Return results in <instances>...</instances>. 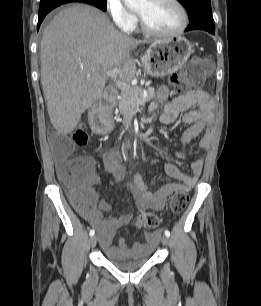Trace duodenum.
<instances>
[{"mask_svg": "<svg viewBox=\"0 0 261 306\" xmlns=\"http://www.w3.org/2000/svg\"><path fill=\"white\" fill-rule=\"evenodd\" d=\"M116 98H117V90L112 86L106 87L104 96L100 101V108L104 109L110 108L113 105Z\"/></svg>", "mask_w": 261, "mask_h": 306, "instance_id": "410a0bca", "label": "duodenum"}]
</instances>
